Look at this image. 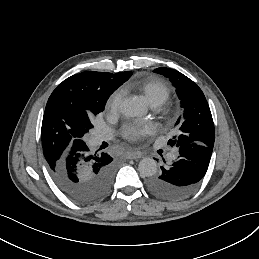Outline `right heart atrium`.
Masks as SVG:
<instances>
[{
    "label": "right heart atrium",
    "instance_id": "d8ad5b80",
    "mask_svg": "<svg viewBox=\"0 0 259 259\" xmlns=\"http://www.w3.org/2000/svg\"><path fill=\"white\" fill-rule=\"evenodd\" d=\"M121 103H122L121 92L119 90L114 91L108 100L109 107L112 108L113 110H118L121 106Z\"/></svg>",
    "mask_w": 259,
    "mask_h": 259
}]
</instances>
